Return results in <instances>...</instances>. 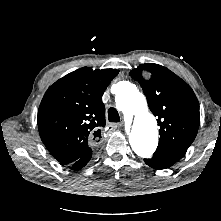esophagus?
Instances as JSON below:
<instances>
[{"instance_id": "1", "label": "esophagus", "mask_w": 221, "mask_h": 221, "mask_svg": "<svg viewBox=\"0 0 221 221\" xmlns=\"http://www.w3.org/2000/svg\"><path fill=\"white\" fill-rule=\"evenodd\" d=\"M123 126V123H114V124H111V127L113 128H120Z\"/></svg>"}]
</instances>
